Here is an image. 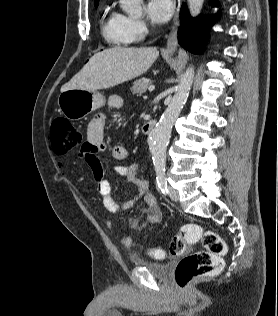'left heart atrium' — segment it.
Wrapping results in <instances>:
<instances>
[{
	"label": "left heart atrium",
	"instance_id": "1",
	"mask_svg": "<svg viewBox=\"0 0 278 316\" xmlns=\"http://www.w3.org/2000/svg\"><path fill=\"white\" fill-rule=\"evenodd\" d=\"M172 0H149L146 5V14L154 23L166 22L172 14Z\"/></svg>",
	"mask_w": 278,
	"mask_h": 316
}]
</instances>
